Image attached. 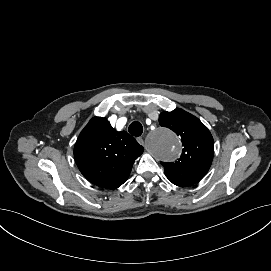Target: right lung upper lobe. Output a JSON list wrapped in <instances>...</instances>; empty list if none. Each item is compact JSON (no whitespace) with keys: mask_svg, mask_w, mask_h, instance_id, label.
Segmentation results:
<instances>
[{"mask_svg":"<svg viewBox=\"0 0 271 271\" xmlns=\"http://www.w3.org/2000/svg\"><path fill=\"white\" fill-rule=\"evenodd\" d=\"M144 148L127 132H117L106 118L94 117L80 133L74 157L91 183L115 189L129 177L133 163Z\"/></svg>","mask_w":271,"mask_h":271,"instance_id":"1","label":"right lung upper lobe"}]
</instances>
